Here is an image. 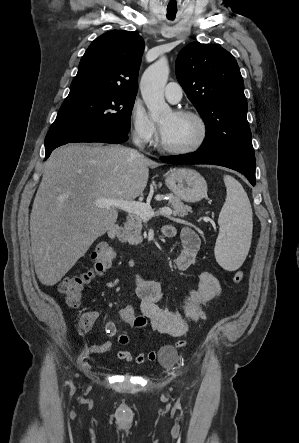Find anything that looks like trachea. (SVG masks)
<instances>
[{
	"instance_id": "trachea-1",
	"label": "trachea",
	"mask_w": 299,
	"mask_h": 443,
	"mask_svg": "<svg viewBox=\"0 0 299 443\" xmlns=\"http://www.w3.org/2000/svg\"><path fill=\"white\" fill-rule=\"evenodd\" d=\"M174 16H175V14H173V13H169V15H168V19H173Z\"/></svg>"
}]
</instances>
